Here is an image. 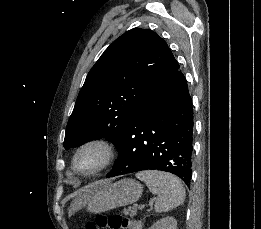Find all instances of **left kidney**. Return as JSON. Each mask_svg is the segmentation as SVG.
I'll return each instance as SVG.
<instances>
[{
	"label": "left kidney",
	"instance_id": "obj_1",
	"mask_svg": "<svg viewBox=\"0 0 261 229\" xmlns=\"http://www.w3.org/2000/svg\"><path fill=\"white\" fill-rule=\"evenodd\" d=\"M150 229H177V221L173 217H165L154 223Z\"/></svg>",
	"mask_w": 261,
	"mask_h": 229
}]
</instances>
